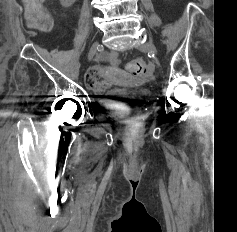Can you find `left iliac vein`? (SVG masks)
<instances>
[{"label":"left iliac vein","instance_id":"obj_1","mask_svg":"<svg viewBox=\"0 0 237 232\" xmlns=\"http://www.w3.org/2000/svg\"><path fill=\"white\" fill-rule=\"evenodd\" d=\"M138 49L141 50V51H149V52L154 53V54L157 53V49H156L155 45L151 42H145L143 44H140L138 46Z\"/></svg>","mask_w":237,"mask_h":232}]
</instances>
